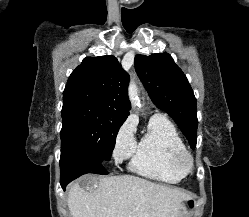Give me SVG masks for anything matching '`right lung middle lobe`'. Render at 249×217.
<instances>
[{
  "mask_svg": "<svg viewBox=\"0 0 249 217\" xmlns=\"http://www.w3.org/2000/svg\"><path fill=\"white\" fill-rule=\"evenodd\" d=\"M61 114V146L80 148L100 163L110 160L125 115L82 100H63Z\"/></svg>",
  "mask_w": 249,
  "mask_h": 217,
  "instance_id": "right-lung-middle-lobe-1",
  "label": "right lung middle lobe"
}]
</instances>
